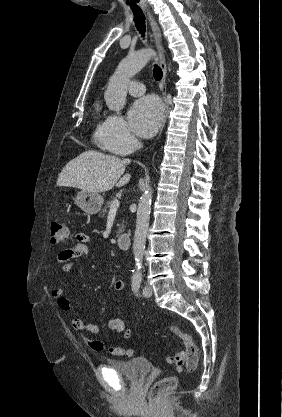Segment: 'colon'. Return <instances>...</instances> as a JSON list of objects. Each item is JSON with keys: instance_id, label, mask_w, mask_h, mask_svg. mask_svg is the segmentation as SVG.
Returning a JSON list of instances; mask_svg holds the SVG:
<instances>
[{"instance_id": "obj_1", "label": "colon", "mask_w": 282, "mask_h": 417, "mask_svg": "<svg viewBox=\"0 0 282 417\" xmlns=\"http://www.w3.org/2000/svg\"><path fill=\"white\" fill-rule=\"evenodd\" d=\"M70 238V231L67 225L64 222L54 220L51 223L50 228V239L53 243H65ZM165 328L175 337L179 338L184 347H186V351L189 352V358L187 359L188 366L187 371L185 372H192L197 368V364L199 361V348L194 342L191 335L183 332L177 325L172 323H167ZM125 354L129 353L128 349L124 350ZM182 358H183V350H178V353L173 357L171 360L174 367L177 369L182 367ZM180 372V371H178ZM177 378L174 376H169L164 379H156L155 384L152 385V389L147 390V397L149 403H166L167 402V395L166 393L172 392V387L177 386Z\"/></svg>"}]
</instances>
